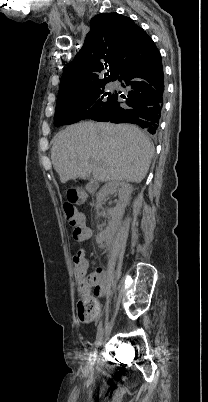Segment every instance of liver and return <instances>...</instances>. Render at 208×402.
<instances>
[{"instance_id": "liver-1", "label": "liver", "mask_w": 208, "mask_h": 402, "mask_svg": "<svg viewBox=\"0 0 208 402\" xmlns=\"http://www.w3.org/2000/svg\"><path fill=\"white\" fill-rule=\"evenodd\" d=\"M153 156V146L132 124L80 122L56 134L51 148L54 170L62 184L86 180L142 182Z\"/></svg>"}]
</instances>
